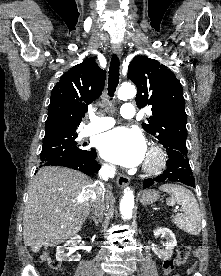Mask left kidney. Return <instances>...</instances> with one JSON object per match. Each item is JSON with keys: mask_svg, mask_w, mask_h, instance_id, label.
<instances>
[{"mask_svg": "<svg viewBox=\"0 0 221 276\" xmlns=\"http://www.w3.org/2000/svg\"><path fill=\"white\" fill-rule=\"evenodd\" d=\"M154 234H161L162 237L166 238L165 250H159L156 247H152V251L161 259H169L172 256L173 249L177 245V241L174 233L168 228H158L154 230Z\"/></svg>", "mask_w": 221, "mask_h": 276, "instance_id": "1", "label": "left kidney"}]
</instances>
